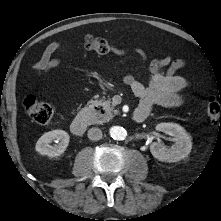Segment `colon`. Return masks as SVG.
<instances>
[{
  "instance_id": "5ec220e1",
  "label": "colon",
  "mask_w": 221,
  "mask_h": 221,
  "mask_svg": "<svg viewBox=\"0 0 221 221\" xmlns=\"http://www.w3.org/2000/svg\"><path fill=\"white\" fill-rule=\"evenodd\" d=\"M83 45L86 49L100 53L108 52L112 48L110 40L92 35L85 37ZM23 106L28 116L38 124H47L52 117L51 106L34 95H27L24 98ZM220 107L221 98L217 99L214 96L208 98L207 115L210 121L221 122Z\"/></svg>"
}]
</instances>
